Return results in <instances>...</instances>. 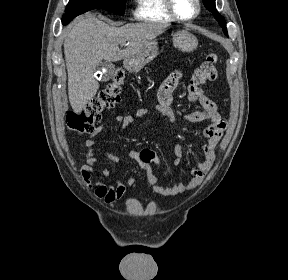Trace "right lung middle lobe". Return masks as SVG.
<instances>
[{"label": "right lung middle lobe", "mask_w": 288, "mask_h": 280, "mask_svg": "<svg viewBox=\"0 0 288 280\" xmlns=\"http://www.w3.org/2000/svg\"><path fill=\"white\" fill-rule=\"evenodd\" d=\"M92 9H105L114 14L123 15L125 0H70L62 21H67Z\"/></svg>", "instance_id": "dd1d6c3e"}]
</instances>
